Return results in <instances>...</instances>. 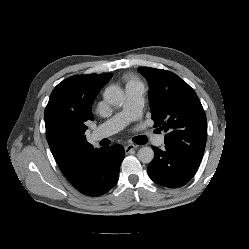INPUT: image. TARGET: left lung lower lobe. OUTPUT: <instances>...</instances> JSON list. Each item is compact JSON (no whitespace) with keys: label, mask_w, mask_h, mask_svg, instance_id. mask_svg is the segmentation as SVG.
<instances>
[{"label":"left lung lower lobe","mask_w":249,"mask_h":249,"mask_svg":"<svg viewBox=\"0 0 249 249\" xmlns=\"http://www.w3.org/2000/svg\"><path fill=\"white\" fill-rule=\"evenodd\" d=\"M155 156L147 167L149 177L165 187L177 188L185 185L194 176L201 159L177 148L166 145L162 151L153 146Z\"/></svg>","instance_id":"obj_1"}]
</instances>
